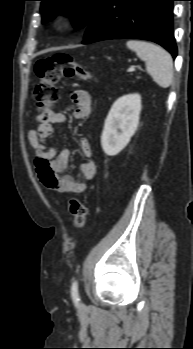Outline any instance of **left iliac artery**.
I'll list each match as a JSON object with an SVG mask.
<instances>
[{
	"instance_id": "1",
	"label": "left iliac artery",
	"mask_w": 193,
	"mask_h": 349,
	"mask_svg": "<svg viewBox=\"0 0 193 349\" xmlns=\"http://www.w3.org/2000/svg\"><path fill=\"white\" fill-rule=\"evenodd\" d=\"M71 296L73 299V302L77 305L79 302V296H78V281H74L71 287Z\"/></svg>"
}]
</instances>
